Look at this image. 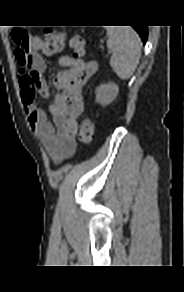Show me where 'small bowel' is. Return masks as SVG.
I'll list each match as a JSON object with an SVG mask.
<instances>
[{"mask_svg": "<svg viewBox=\"0 0 184 292\" xmlns=\"http://www.w3.org/2000/svg\"><path fill=\"white\" fill-rule=\"evenodd\" d=\"M42 41L30 37L25 56L15 52L20 73V94L26 111L27 120L38 139L45 146L55 163L73 156L76 149L78 118L84 109L82 89L97 69L94 61H85L68 55L55 59L63 69L54 77L53 84L58 89L47 113L35 102L37 93L49 99L50 91L43 77L45 61L39 54Z\"/></svg>", "mask_w": 184, "mask_h": 292, "instance_id": "small-bowel-1", "label": "small bowel"}]
</instances>
